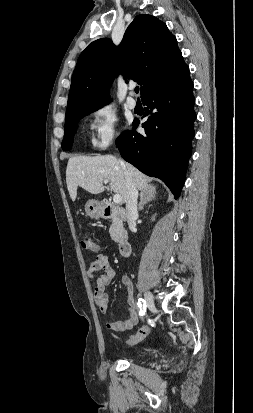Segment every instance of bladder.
Returning a JSON list of instances; mask_svg holds the SVG:
<instances>
[{
  "instance_id": "1",
  "label": "bladder",
  "mask_w": 253,
  "mask_h": 413,
  "mask_svg": "<svg viewBox=\"0 0 253 413\" xmlns=\"http://www.w3.org/2000/svg\"><path fill=\"white\" fill-rule=\"evenodd\" d=\"M136 359H139V360H144V357L143 356H141V355H137V356H134Z\"/></svg>"
}]
</instances>
